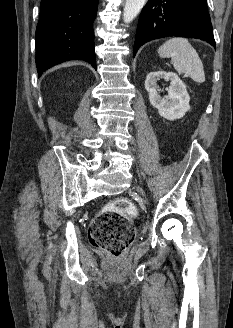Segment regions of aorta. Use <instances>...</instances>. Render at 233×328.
I'll return each instance as SVG.
<instances>
[{
	"label": "aorta",
	"instance_id": "obj_1",
	"mask_svg": "<svg viewBox=\"0 0 233 328\" xmlns=\"http://www.w3.org/2000/svg\"><path fill=\"white\" fill-rule=\"evenodd\" d=\"M147 0H126L123 19L125 23H130L139 13Z\"/></svg>",
	"mask_w": 233,
	"mask_h": 328
}]
</instances>
